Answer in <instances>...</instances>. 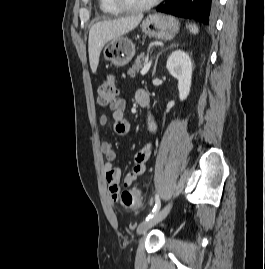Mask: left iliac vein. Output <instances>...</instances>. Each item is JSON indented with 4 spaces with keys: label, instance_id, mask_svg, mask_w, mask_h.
Instances as JSON below:
<instances>
[{
    "label": "left iliac vein",
    "instance_id": "left-iliac-vein-1",
    "mask_svg": "<svg viewBox=\"0 0 265 269\" xmlns=\"http://www.w3.org/2000/svg\"><path fill=\"white\" fill-rule=\"evenodd\" d=\"M172 207V203H168L166 206H164L160 211L157 212V214L144 222H142L137 229V234L141 235L146 233L150 228L161 222L166 218V216L169 214Z\"/></svg>",
    "mask_w": 265,
    "mask_h": 269
}]
</instances>
